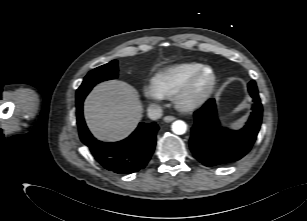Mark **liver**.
Wrapping results in <instances>:
<instances>
[{
    "instance_id": "1",
    "label": "liver",
    "mask_w": 307,
    "mask_h": 221,
    "mask_svg": "<svg viewBox=\"0 0 307 221\" xmlns=\"http://www.w3.org/2000/svg\"><path fill=\"white\" fill-rule=\"evenodd\" d=\"M142 113L137 90L119 80L98 84L84 101L87 126L102 141L127 137L137 127Z\"/></svg>"
}]
</instances>
